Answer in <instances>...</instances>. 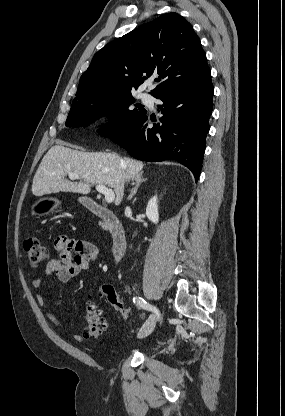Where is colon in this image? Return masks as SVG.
<instances>
[{
    "label": "colon",
    "mask_w": 285,
    "mask_h": 416,
    "mask_svg": "<svg viewBox=\"0 0 285 416\" xmlns=\"http://www.w3.org/2000/svg\"><path fill=\"white\" fill-rule=\"evenodd\" d=\"M24 249L27 258L32 266H38L48 258L47 248L40 243L37 238L30 237L24 241ZM101 294L106 298L112 308L121 315L124 320L129 318V309L125 303L118 297L113 286L105 284L101 287ZM86 330L85 336L98 337L107 327V322L102 316L101 310L92 302H89L86 306Z\"/></svg>",
    "instance_id": "obj_1"
}]
</instances>
